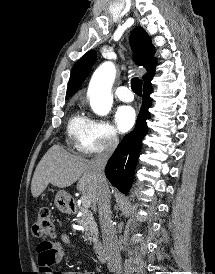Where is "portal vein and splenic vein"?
I'll use <instances>...</instances> for the list:
<instances>
[{
    "label": "portal vein and splenic vein",
    "mask_w": 215,
    "mask_h": 274,
    "mask_svg": "<svg viewBox=\"0 0 215 274\" xmlns=\"http://www.w3.org/2000/svg\"><path fill=\"white\" fill-rule=\"evenodd\" d=\"M81 203H82V206H83L85 209H88V208L91 206V201H90V199H89L87 196H85V195H83V196L81 197Z\"/></svg>",
    "instance_id": "obj_1"
}]
</instances>
